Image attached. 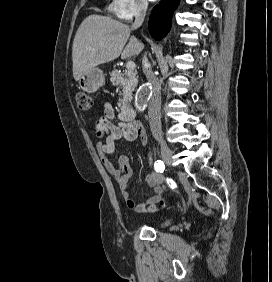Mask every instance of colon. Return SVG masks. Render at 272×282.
<instances>
[{"instance_id": "1", "label": "colon", "mask_w": 272, "mask_h": 282, "mask_svg": "<svg viewBox=\"0 0 272 282\" xmlns=\"http://www.w3.org/2000/svg\"><path fill=\"white\" fill-rule=\"evenodd\" d=\"M76 103H77V107L82 111H88L93 106V100L91 96L84 92H79L76 94ZM160 205L164 206L165 201L161 200ZM155 209H156L155 205H149L145 207L144 211L152 212Z\"/></svg>"}]
</instances>
